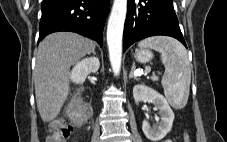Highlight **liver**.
<instances>
[{
    "mask_svg": "<svg viewBox=\"0 0 227 142\" xmlns=\"http://www.w3.org/2000/svg\"><path fill=\"white\" fill-rule=\"evenodd\" d=\"M94 49L92 40L72 32L53 33L40 42L33 79L43 122L54 120L68 97L70 67Z\"/></svg>",
    "mask_w": 227,
    "mask_h": 142,
    "instance_id": "1",
    "label": "liver"
}]
</instances>
